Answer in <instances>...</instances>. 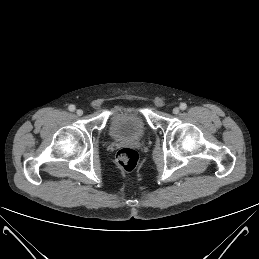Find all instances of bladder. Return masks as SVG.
Listing matches in <instances>:
<instances>
[{"mask_svg": "<svg viewBox=\"0 0 259 259\" xmlns=\"http://www.w3.org/2000/svg\"><path fill=\"white\" fill-rule=\"evenodd\" d=\"M147 131L141 115L124 105L114 106L108 117V132L114 139H140Z\"/></svg>", "mask_w": 259, "mask_h": 259, "instance_id": "bladder-1", "label": "bladder"}]
</instances>
